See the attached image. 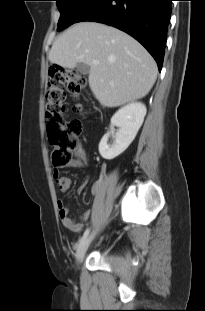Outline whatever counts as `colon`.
<instances>
[{
  "mask_svg": "<svg viewBox=\"0 0 205 311\" xmlns=\"http://www.w3.org/2000/svg\"><path fill=\"white\" fill-rule=\"evenodd\" d=\"M65 86L68 92L78 97L85 86V79L70 70L50 67L44 108L54 167L67 165L71 161L74 151L80 146L84 130L80 120L65 118ZM74 111L83 112L81 104H75Z\"/></svg>",
  "mask_w": 205,
  "mask_h": 311,
  "instance_id": "1",
  "label": "colon"
}]
</instances>
